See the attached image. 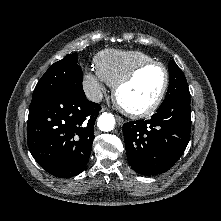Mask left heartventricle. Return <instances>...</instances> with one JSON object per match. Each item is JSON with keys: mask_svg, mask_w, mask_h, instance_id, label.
Masks as SVG:
<instances>
[{"mask_svg": "<svg viewBox=\"0 0 221 221\" xmlns=\"http://www.w3.org/2000/svg\"><path fill=\"white\" fill-rule=\"evenodd\" d=\"M163 82L164 73L160 67L146 68L120 90V102L130 109H143L155 100Z\"/></svg>", "mask_w": 221, "mask_h": 221, "instance_id": "1", "label": "left heart ventricle"}]
</instances>
